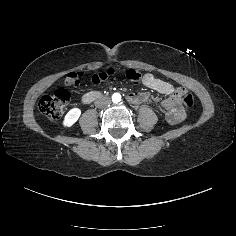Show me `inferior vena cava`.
Listing matches in <instances>:
<instances>
[{
  "mask_svg": "<svg viewBox=\"0 0 236 236\" xmlns=\"http://www.w3.org/2000/svg\"><path fill=\"white\" fill-rule=\"evenodd\" d=\"M111 104V100L108 97H100L95 101V106L98 108H103Z\"/></svg>",
  "mask_w": 236,
  "mask_h": 236,
  "instance_id": "1",
  "label": "inferior vena cava"
}]
</instances>
